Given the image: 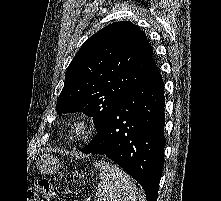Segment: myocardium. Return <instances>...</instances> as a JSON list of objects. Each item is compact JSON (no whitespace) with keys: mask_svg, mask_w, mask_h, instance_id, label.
Here are the masks:
<instances>
[{"mask_svg":"<svg viewBox=\"0 0 221 201\" xmlns=\"http://www.w3.org/2000/svg\"><path fill=\"white\" fill-rule=\"evenodd\" d=\"M94 128V123L91 118L85 115L76 116L70 125V132L74 137L85 138L89 136Z\"/></svg>","mask_w":221,"mask_h":201,"instance_id":"1","label":"myocardium"}]
</instances>
